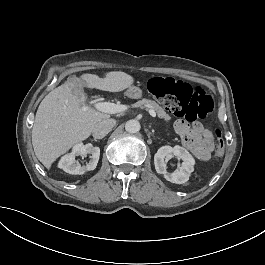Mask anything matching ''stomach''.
Instances as JSON below:
<instances>
[{"label":"stomach","instance_id":"1","mask_svg":"<svg viewBox=\"0 0 265 265\" xmlns=\"http://www.w3.org/2000/svg\"><path fill=\"white\" fill-rule=\"evenodd\" d=\"M126 95L133 99H139V98H142L143 91L139 87L133 86L129 88Z\"/></svg>","mask_w":265,"mask_h":265}]
</instances>
